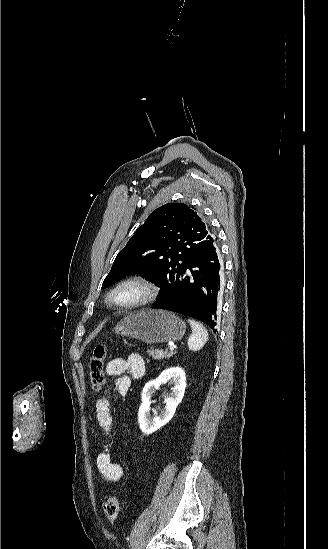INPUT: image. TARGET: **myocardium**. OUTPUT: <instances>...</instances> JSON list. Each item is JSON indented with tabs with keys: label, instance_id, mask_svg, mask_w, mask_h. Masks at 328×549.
Returning a JSON list of instances; mask_svg holds the SVG:
<instances>
[{
	"label": "myocardium",
	"instance_id": "f54148a6",
	"mask_svg": "<svg viewBox=\"0 0 328 549\" xmlns=\"http://www.w3.org/2000/svg\"><path fill=\"white\" fill-rule=\"evenodd\" d=\"M129 287H135L137 292L133 296L122 297L124 290ZM157 291L158 287L152 279L139 273H132L122 277L108 288L103 303L111 311H131L150 304Z\"/></svg>",
	"mask_w": 328,
	"mask_h": 549
}]
</instances>
